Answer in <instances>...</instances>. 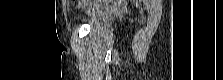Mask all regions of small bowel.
I'll list each match as a JSON object with an SVG mask.
<instances>
[{
	"instance_id": "small-bowel-1",
	"label": "small bowel",
	"mask_w": 223,
	"mask_h": 80,
	"mask_svg": "<svg viewBox=\"0 0 223 80\" xmlns=\"http://www.w3.org/2000/svg\"><path fill=\"white\" fill-rule=\"evenodd\" d=\"M109 8V6L107 5H96V6H93L90 10H89V13L90 14H96V13H99L101 11H104V10H107Z\"/></svg>"
}]
</instances>
